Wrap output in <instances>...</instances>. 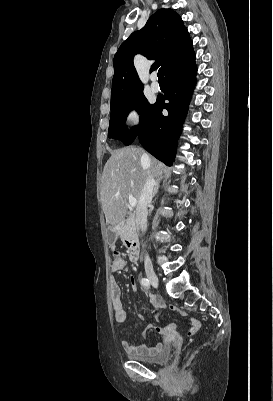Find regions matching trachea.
Returning a JSON list of instances; mask_svg holds the SVG:
<instances>
[{"label": "trachea", "instance_id": "obj_1", "mask_svg": "<svg viewBox=\"0 0 273 401\" xmlns=\"http://www.w3.org/2000/svg\"><path fill=\"white\" fill-rule=\"evenodd\" d=\"M158 80L159 81H165V77H164V73H163L162 68H159V70H158Z\"/></svg>", "mask_w": 273, "mask_h": 401}]
</instances>
